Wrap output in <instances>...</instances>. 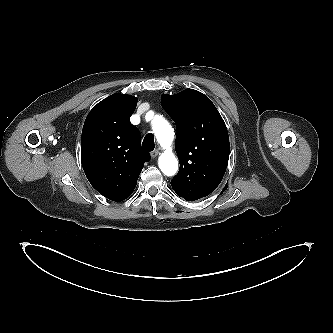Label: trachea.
I'll use <instances>...</instances> for the list:
<instances>
[{"label":"trachea","mask_w":333,"mask_h":333,"mask_svg":"<svg viewBox=\"0 0 333 333\" xmlns=\"http://www.w3.org/2000/svg\"><path fill=\"white\" fill-rule=\"evenodd\" d=\"M142 146H143L146 150H148V151H152V150H154V148H155V145H154V136H153L152 133H148V134L145 136V138H144V140H143V142H142Z\"/></svg>","instance_id":"obj_1"}]
</instances>
